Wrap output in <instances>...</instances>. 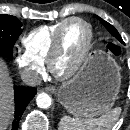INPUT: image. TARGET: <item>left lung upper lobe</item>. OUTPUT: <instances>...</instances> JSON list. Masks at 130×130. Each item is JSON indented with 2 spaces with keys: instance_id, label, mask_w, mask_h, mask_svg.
I'll return each instance as SVG.
<instances>
[{
  "instance_id": "5c2ea615",
  "label": "left lung upper lobe",
  "mask_w": 130,
  "mask_h": 130,
  "mask_svg": "<svg viewBox=\"0 0 130 130\" xmlns=\"http://www.w3.org/2000/svg\"><path fill=\"white\" fill-rule=\"evenodd\" d=\"M95 17L101 21V23L106 27V29L117 39L119 40L121 43H123V40L121 38V36L119 35L118 31L108 22H106L105 20L101 19L100 17L96 16Z\"/></svg>"
}]
</instances>
